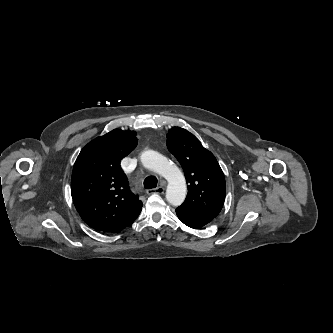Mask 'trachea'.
<instances>
[{"label": "trachea", "instance_id": "1", "mask_svg": "<svg viewBox=\"0 0 333 333\" xmlns=\"http://www.w3.org/2000/svg\"><path fill=\"white\" fill-rule=\"evenodd\" d=\"M157 178L155 176H149L144 180V187L147 189H152L157 186Z\"/></svg>", "mask_w": 333, "mask_h": 333}]
</instances>
